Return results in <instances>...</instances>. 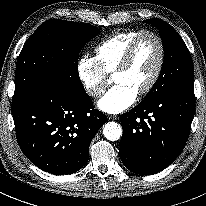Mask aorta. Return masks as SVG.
<instances>
[{"mask_svg": "<svg viewBox=\"0 0 206 206\" xmlns=\"http://www.w3.org/2000/svg\"><path fill=\"white\" fill-rule=\"evenodd\" d=\"M103 134L106 139L116 141L122 136V127L115 122H108L103 127Z\"/></svg>", "mask_w": 206, "mask_h": 206, "instance_id": "1", "label": "aorta"}]
</instances>
